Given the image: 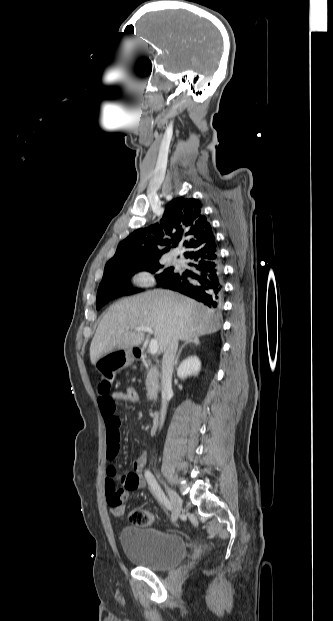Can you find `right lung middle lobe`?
<instances>
[{
    "label": "right lung middle lobe",
    "mask_w": 333,
    "mask_h": 621,
    "mask_svg": "<svg viewBox=\"0 0 333 621\" xmlns=\"http://www.w3.org/2000/svg\"><path fill=\"white\" fill-rule=\"evenodd\" d=\"M159 259L105 266L104 275L97 291L96 308H101L112 299L139 292L138 289H133L129 285L130 276L137 271L146 270L151 273H158L155 278L159 285L163 284L173 275L175 269L170 267L160 272L163 266L159 263Z\"/></svg>",
    "instance_id": "obj_1"
}]
</instances>
